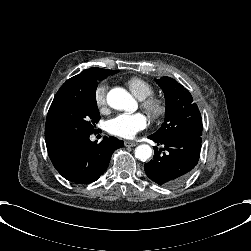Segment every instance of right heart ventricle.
<instances>
[{"instance_id":"obj_1","label":"right heart ventricle","mask_w":251,"mask_h":251,"mask_svg":"<svg viewBox=\"0 0 251 251\" xmlns=\"http://www.w3.org/2000/svg\"><path fill=\"white\" fill-rule=\"evenodd\" d=\"M126 84L139 99L148 97L154 93L153 86L139 76H130L127 78Z\"/></svg>"}]
</instances>
